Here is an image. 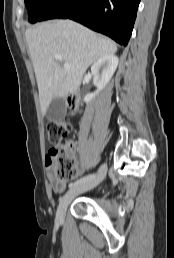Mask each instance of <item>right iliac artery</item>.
<instances>
[{
    "label": "right iliac artery",
    "mask_w": 174,
    "mask_h": 258,
    "mask_svg": "<svg viewBox=\"0 0 174 258\" xmlns=\"http://www.w3.org/2000/svg\"><path fill=\"white\" fill-rule=\"evenodd\" d=\"M95 176H96L95 174H90V175H87L85 177H82L79 180L75 181L74 183H70L69 184V188L70 189L74 188V187H76L78 185H81V184H83V183H85V182H87L89 180H92Z\"/></svg>",
    "instance_id": "1"
}]
</instances>
